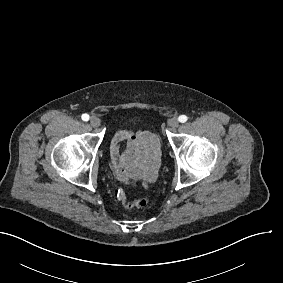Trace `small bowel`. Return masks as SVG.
<instances>
[{"label": "small bowel", "mask_w": 283, "mask_h": 283, "mask_svg": "<svg viewBox=\"0 0 283 283\" xmlns=\"http://www.w3.org/2000/svg\"><path fill=\"white\" fill-rule=\"evenodd\" d=\"M123 141H126L131 149L139 145H150L153 152V159L156 161L157 155L155 149L158 146V138L154 133L147 130L134 133L130 130L122 129L115 134L110 146L111 162L117 177L121 181L127 182L130 175V163L120 151V143ZM155 169L156 166L151 167L150 170L145 173L144 179L146 181L151 182L154 180Z\"/></svg>", "instance_id": "c3829d8e"}]
</instances>
